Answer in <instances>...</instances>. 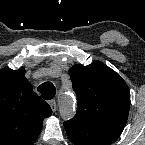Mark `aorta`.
Segmentation results:
<instances>
[{"label":"aorta","mask_w":145,"mask_h":145,"mask_svg":"<svg viewBox=\"0 0 145 145\" xmlns=\"http://www.w3.org/2000/svg\"><path fill=\"white\" fill-rule=\"evenodd\" d=\"M60 113L64 118H72L75 114L73 100L70 96H65L60 100Z\"/></svg>","instance_id":"aorta-1"}]
</instances>
